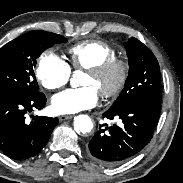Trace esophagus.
Returning a JSON list of instances; mask_svg holds the SVG:
<instances>
[{
    "instance_id": "esophagus-1",
    "label": "esophagus",
    "mask_w": 183,
    "mask_h": 183,
    "mask_svg": "<svg viewBox=\"0 0 183 183\" xmlns=\"http://www.w3.org/2000/svg\"><path fill=\"white\" fill-rule=\"evenodd\" d=\"M71 118H73L72 115H61V116H59L60 121H64V120L71 119Z\"/></svg>"
}]
</instances>
